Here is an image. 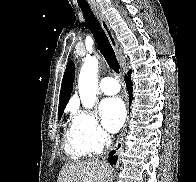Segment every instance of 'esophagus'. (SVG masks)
Returning a JSON list of instances; mask_svg holds the SVG:
<instances>
[{
	"mask_svg": "<svg viewBox=\"0 0 196 182\" xmlns=\"http://www.w3.org/2000/svg\"><path fill=\"white\" fill-rule=\"evenodd\" d=\"M93 11L96 14L105 34L107 35L110 44L116 51H118V43L115 40L114 34L108 24L107 19L105 18V16L102 14L101 10L98 7H93Z\"/></svg>",
	"mask_w": 196,
	"mask_h": 182,
	"instance_id": "esophagus-1",
	"label": "esophagus"
}]
</instances>
